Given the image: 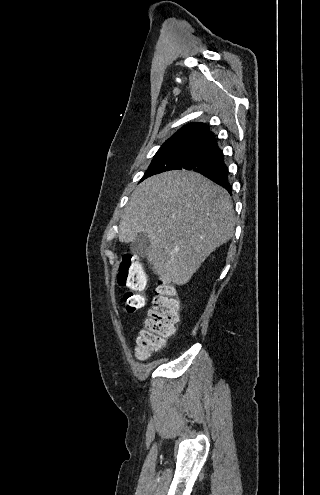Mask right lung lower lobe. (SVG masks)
Segmentation results:
<instances>
[{"label":"right lung lower lobe","instance_id":"right-lung-lower-lobe-1","mask_svg":"<svg viewBox=\"0 0 320 495\" xmlns=\"http://www.w3.org/2000/svg\"><path fill=\"white\" fill-rule=\"evenodd\" d=\"M178 169H187L198 172L219 184L232 194V188L228 182V168L224 163L223 153L218 147L215 138L207 141Z\"/></svg>","mask_w":320,"mask_h":495}]
</instances>
